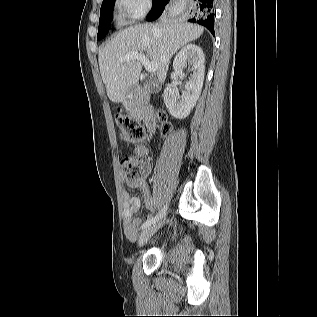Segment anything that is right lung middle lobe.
I'll return each mask as SVG.
<instances>
[{
	"mask_svg": "<svg viewBox=\"0 0 317 317\" xmlns=\"http://www.w3.org/2000/svg\"><path fill=\"white\" fill-rule=\"evenodd\" d=\"M159 0H153V5ZM115 0H103L100 9L99 29L97 39H102L111 27V20L113 18V7ZM168 4V3H167Z\"/></svg>",
	"mask_w": 317,
	"mask_h": 317,
	"instance_id": "right-lung-middle-lobe-1",
	"label": "right lung middle lobe"
}]
</instances>
